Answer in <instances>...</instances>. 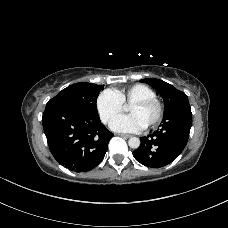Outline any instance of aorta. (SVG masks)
I'll return each instance as SVG.
<instances>
[{
  "label": "aorta",
  "instance_id": "1",
  "mask_svg": "<svg viewBox=\"0 0 228 228\" xmlns=\"http://www.w3.org/2000/svg\"><path fill=\"white\" fill-rule=\"evenodd\" d=\"M128 145L130 148L137 149L140 146V139L138 137H131L128 140Z\"/></svg>",
  "mask_w": 228,
  "mask_h": 228
}]
</instances>
